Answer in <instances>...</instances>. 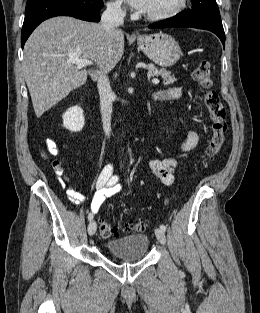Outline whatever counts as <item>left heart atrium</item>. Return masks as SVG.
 <instances>
[{
	"label": "left heart atrium",
	"instance_id": "1",
	"mask_svg": "<svg viewBox=\"0 0 260 313\" xmlns=\"http://www.w3.org/2000/svg\"><path fill=\"white\" fill-rule=\"evenodd\" d=\"M132 8L140 11H145L148 0H125Z\"/></svg>",
	"mask_w": 260,
	"mask_h": 313
}]
</instances>
